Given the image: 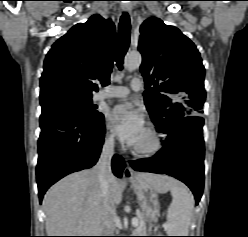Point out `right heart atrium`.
I'll return each instance as SVG.
<instances>
[{"label":"right heart atrium","instance_id":"d8ad5b80","mask_svg":"<svg viewBox=\"0 0 248 237\" xmlns=\"http://www.w3.org/2000/svg\"><path fill=\"white\" fill-rule=\"evenodd\" d=\"M105 143L108 145V146H113L114 143H115V139H114V135L112 133H108L106 136H105Z\"/></svg>","mask_w":248,"mask_h":237}]
</instances>
